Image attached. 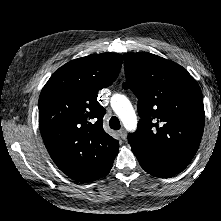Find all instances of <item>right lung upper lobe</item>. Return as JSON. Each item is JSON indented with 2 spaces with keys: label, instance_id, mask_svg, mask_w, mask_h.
<instances>
[{
  "label": "right lung upper lobe",
  "instance_id": "right-lung-upper-lobe-1",
  "mask_svg": "<svg viewBox=\"0 0 221 221\" xmlns=\"http://www.w3.org/2000/svg\"><path fill=\"white\" fill-rule=\"evenodd\" d=\"M123 58L116 53L72 60L50 77L39 97V128L55 164L78 182L106 176L119 143L103 130L97 93L112 85Z\"/></svg>",
  "mask_w": 221,
  "mask_h": 221
}]
</instances>
